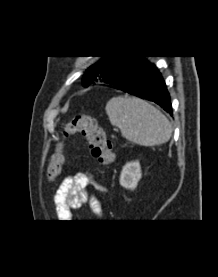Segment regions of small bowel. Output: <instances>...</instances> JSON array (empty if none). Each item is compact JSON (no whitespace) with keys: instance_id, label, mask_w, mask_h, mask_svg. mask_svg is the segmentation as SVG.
<instances>
[{"instance_id":"small-bowel-1","label":"small bowel","mask_w":218,"mask_h":277,"mask_svg":"<svg viewBox=\"0 0 218 277\" xmlns=\"http://www.w3.org/2000/svg\"><path fill=\"white\" fill-rule=\"evenodd\" d=\"M92 186L100 193L105 192V188L87 173L78 172L67 177L57 189L55 194V211L59 219H70L72 210L78 209L84 204H88L96 214L101 213L100 202L89 195L87 189Z\"/></svg>"}]
</instances>
